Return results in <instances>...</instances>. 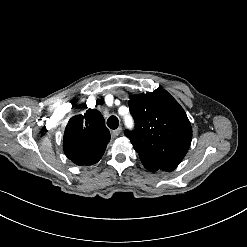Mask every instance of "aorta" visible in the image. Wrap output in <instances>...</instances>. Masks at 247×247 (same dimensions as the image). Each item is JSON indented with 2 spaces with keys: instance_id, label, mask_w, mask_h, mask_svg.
<instances>
[{
  "instance_id": "762f6f07",
  "label": "aorta",
  "mask_w": 247,
  "mask_h": 247,
  "mask_svg": "<svg viewBox=\"0 0 247 247\" xmlns=\"http://www.w3.org/2000/svg\"><path fill=\"white\" fill-rule=\"evenodd\" d=\"M125 124H126L127 127L132 126V119H131L130 115H127L125 117Z\"/></svg>"
}]
</instances>
